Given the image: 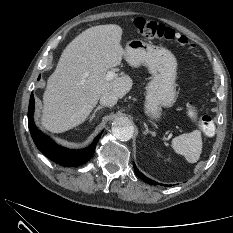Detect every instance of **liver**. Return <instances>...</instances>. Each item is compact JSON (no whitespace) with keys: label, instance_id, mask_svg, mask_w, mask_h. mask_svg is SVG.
<instances>
[{"label":"liver","instance_id":"liver-1","mask_svg":"<svg viewBox=\"0 0 233 233\" xmlns=\"http://www.w3.org/2000/svg\"><path fill=\"white\" fill-rule=\"evenodd\" d=\"M122 33L116 24L98 25L67 45L43 95L41 123L46 130H70L85 121L104 93L121 99L130 91L129 76L106 79V72L125 58Z\"/></svg>","mask_w":233,"mask_h":233}]
</instances>
